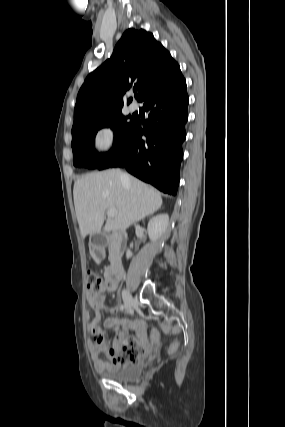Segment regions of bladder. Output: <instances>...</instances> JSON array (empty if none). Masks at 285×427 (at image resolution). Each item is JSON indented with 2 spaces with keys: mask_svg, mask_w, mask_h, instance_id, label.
<instances>
[{
  "mask_svg": "<svg viewBox=\"0 0 285 427\" xmlns=\"http://www.w3.org/2000/svg\"><path fill=\"white\" fill-rule=\"evenodd\" d=\"M143 365L139 362L129 363L121 367L110 368L104 371V376L118 382H128L141 376Z\"/></svg>",
  "mask_w": 285,
  "mask_h": 427,
  "instance_id": "obj_1",
  "label": "bladder"
}]
</instances>
